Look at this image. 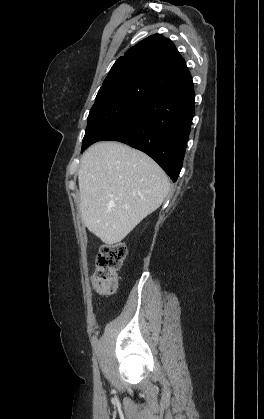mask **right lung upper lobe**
<instances>
[{"mask_svg": "<svg viewBox=\"0 0 264 419\" xmlns=\"http://www.w3.org/2000/svg\"><path fill=\"white\" fill-rule=\"evenodd\" d=\"M119 84L154 96L193 86L184 59L172 41L160 34L145 38L118 58L101 88Z\"/></svg>", "mask_w": 264, "mask_h": 419, "instance_id": "obj_1", "label": "right lung upper lobe"}]
</instances>
